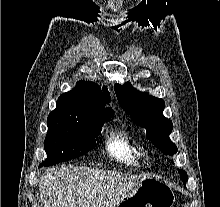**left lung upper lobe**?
<instances>
[{
	"instance_id": "left-lung-upper-lobe-1",
	"label": "left lung upper lobe",
	"mask_w": 220,
	"mask_h": 207,
	"mask_svg": "<svg viewBox=\"0 0 220 207\" xmlns=\"http://www.w3.org/2000/svg\"><path fill=\"white\" fill-rule=\"evenodd\" d=\"M114 89L120 106L137 125L146 129V137L165 155L175 154L177 147L169 138L173 124L162 114L164 101L139 92L129 82L115 84Z\"/></svg>"
}]
</instances>
